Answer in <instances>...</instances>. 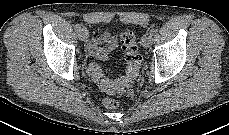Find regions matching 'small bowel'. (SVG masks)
<instances>
[{"instance_id":"obj_1","label":"small bowel","mask_w":229,"mask_h":135,"mask_svg":"<svg viewBox=\"0 0 229 135\" xmlns=\"http://www.w3.org/2000/svg\"><path fill=\"white\" fill-rule=\"evenodd\" d=\"M111 47H114V42L110 41Z\"/></svg>"}]
</instances>
